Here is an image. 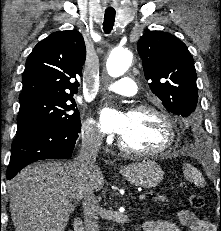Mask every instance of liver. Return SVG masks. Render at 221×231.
<instances>
[{
  "label": "liver",
  "instance_id": "liver-1",
  "mask_svg": "<svg viewBox=\"0 0 221 231\" xmlns=\"http://www.w3.org/2000/svg\"><path fill=\"white\" fill-rule=\"evenodd\" d=\"M104 185L98 166L86 174L75 161L38 162L7 184L16 231H64L70 214L88 189Z\"/></svg>",
  "mask_w": 221,
  "mask_h": 231
}]
</instances>
